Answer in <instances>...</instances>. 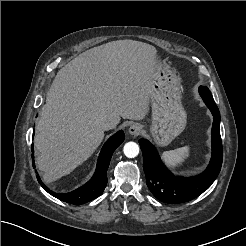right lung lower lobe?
<instances>
[{
    "label": "right lung lower lobe",
    "instance_id": "1",
    "mask_svg": "<svg viewBox=\"0 0 246 246\" xmlns=\"http://www.w3.org/2000/svg\"><path fill=\"white\" fill-rule=\"evenodd\" d=\"M34 135V133H33ZM125 135L123 131H119L114 136H112L103 146L97 163V168L92 179L86 183L84 186L76 189L70 193H55L51 191L45 184L41 181L39 175H37V179L41 186L52 196L58 198L61 201L81 205L88 201H91L97 198L102 194L106 185H107V169L115 149L124 141ZM33 151V148H32ZM33 167L34 165V157L32 155Z\"/></svg>",
    "mask_w": 246,
    "mask_h": 246
}]
</instances>
